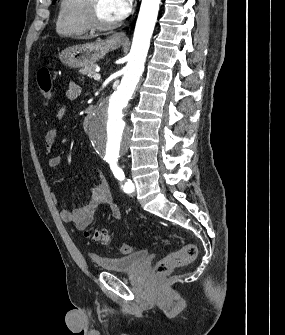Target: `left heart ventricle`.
<instances>
[{"label": "left heart ventricle", "mask_w": 285, "mask_h": 335, "mask_svg": "<svg viewBox=\"0 0 285 335\" xmlns=\"http://www.w3.org/2000/svg\"><path fill=\"white\" fill-rule=\"evenodd\" d=\"M97 5L99 20L106 24L114 23L110 1H97Z\"/></svg>", "instance_id": "left-heart-ventricle-1"}]
</instances>
